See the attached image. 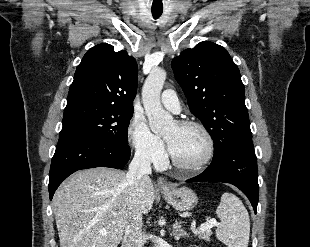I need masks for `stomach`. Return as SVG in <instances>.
<instances>
[{"label":"stomach","instance_id":"1","mask_svg":"<svg viewBox=\"0 0 310 247\" xmlns=\"http://www.w3.org/2000/svg\"><path fill=\"white\" fill-rule=\"evenodd\" d=\"M161 193L165 201L178 211L191 210L198 201L196 194L186 187L161 191Z\"/></svg>","mask_w":310,"mask_h":247}]
</instances>
